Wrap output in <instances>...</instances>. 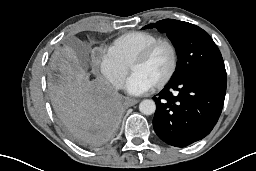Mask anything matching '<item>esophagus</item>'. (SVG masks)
Instances as JSON below:
<instances>
[{
    "instance_id": "obj_1",
    "label": "esophagus",
    "mask_w": 256,
    "mask_h": 171,
    "mask_svg": "<svg viewBox=\"0 0 256 171\" xmlns=\"http://www.w3.org/2000/svg\"><path fill=\"white\" fill-rule=\"evenodd\" d=\"M138 102H139L138 99L127 98V99L125 100L124 104H125L127 107H131V106L136 105Z\"/></svg>"
}]
</instances>
